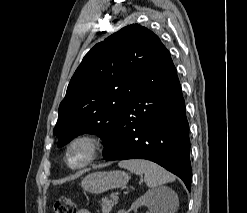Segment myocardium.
Wrapping results in <instances>:
<instances>
[{"instance_id": "obj_1", "label": "myocardium", "mask_w": 247, "mask_h": 213, "mask_svg": "<svg viewBox=\"0 0 247 213\" xmlns=\"http://www.w3.org/2000/svg\"><path fill=\"white\" fill-rule=\"evenodd\" d=\"M78 146L85 147L86 155L80 163L73 164L70 160V153L74 148ZM102 149L103 142L99 136L91 133H81L74 136L68 141V143L65 146L63 160L65 165L69 169L81 170L95 162L98 159Z\"/></svg>"}]
</instances>
